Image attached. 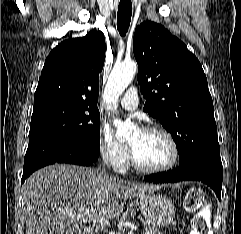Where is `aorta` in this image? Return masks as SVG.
Returning a JSON list of instances; mask_svg holds the SVG:
<instances>
[{"label":"aorta","instance_id":"obj_1","mask_svg":"<svg viewBox=\"0 0 241 234\" xmlns=\"http://www.w3.org/2000/svg\"><path fill=\"white\" fill-rule=\"evenodd\" d=\"M137 71V64L133 61H126L113 67L104 92V100L116 107L117 100L123 91L131 83ZM116 127L118 139L129 138L135 126L130 122H123L119 119L113 121Z\"/></svg>","mask_w":241,"mask_h":234}]
</instances>
